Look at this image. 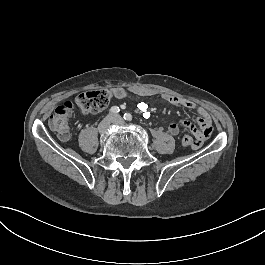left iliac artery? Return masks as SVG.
Returning a JSON list of instances; mask_svg holds the SVG:
<instances>
[{
  "mask_svg": "<svg viewBox=\"0 0 265 265\" xmlns=\"http://www.w3.org/2000/svg\"><path fill=\"white\" fill-rule=\"evenodd\" d=\"M123 118L125 120L131 121L132 120V115L130 113H125L124 116H123Z\"/></svg>",
  "mask_w": 265,
  "mask_h": 265,
  "instance_id": "44dca946",
  "label": "left iliac artery"
}]
</instances>
